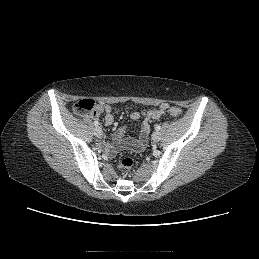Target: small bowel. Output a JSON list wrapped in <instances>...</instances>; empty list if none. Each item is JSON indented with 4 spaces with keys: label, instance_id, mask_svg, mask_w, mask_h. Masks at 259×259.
Instances as JSON below:
<instances>
[{
    "label": "small bowel",
    "instance_id": "small-bowel-1",
    "mask_svg": "<svg viewBox=\"0 0 259 259\" xmlns=\"http://www.w3.org/2000/svg\"><path fill=\"white\" fill-rule=\"evenodd\" d=\"M168 104L163 103L157 107L147 109L143 112L133 111L131 113V119L139 120L142 119V126L140 134L137 138L126 139L125 138V127H119L113 136V143L109 144L105 140L100 141V146L104 148L109 154L115 153L119 149L131 148L137 151L142 150L145 147L148 135L150 133V120L159 119L166 115ZM105 114V124L111 126L114 123V115L110 105H102L99 107L97 114Z\"/></svg>",
    "mask_w": 259,
    "mask_h": 259
}]
</instances>
